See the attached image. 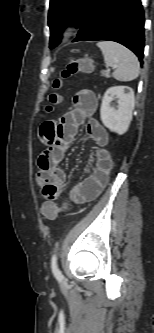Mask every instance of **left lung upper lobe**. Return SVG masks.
Here are the masks:
<instances>
[{"label": "left lung upper lobe", "instance_id": "1", "mask_svg": "<svg viewBox=\"0 0 154 333\" xmlns=\"http://www.w3.org/2000/svg\"><path fill=\"white\" fill-rule=\"evenodd\" d=\"M96 0H50L48 25L51 30L50 47L61 39V31L67 25L80 27Z\"/></svg>", "mask_w": 154, "mask_h": 333}]
</instances>
